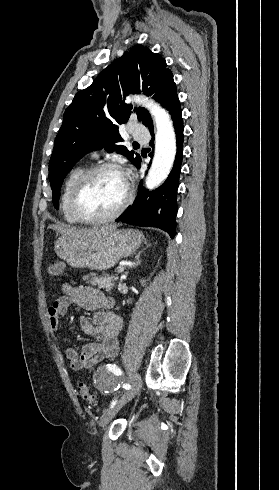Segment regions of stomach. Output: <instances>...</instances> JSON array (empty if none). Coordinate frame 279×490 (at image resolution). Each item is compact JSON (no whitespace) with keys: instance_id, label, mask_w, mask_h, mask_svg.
<instances>
[{"instance_id":"obj_1","label":"stomach","mask_w":279,"mask_h":490,"mask_svg":"<svg viewBox=\"0 0 279 490\" xmlns=\"http://www.w3.org/2000/svg\"><path fill=\"white\" fill-rule=\"evenodd\" d=\"M144 236L138 230H112L105 234H93L91 238L70 240L61 236L54 244V250L61 260L71 268H88L105 272L113 268L119 260L136 252Z\"/></svg>"}]
</instances>
